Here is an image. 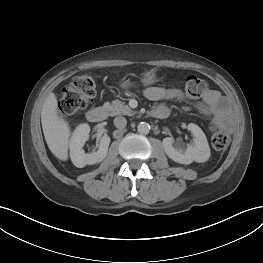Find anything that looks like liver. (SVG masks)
<instances>
[{
	"label": "liver",
	"instance_id": "obj_1",
	"mask_svg": "<svg viewBox=\"0 0 263 263\" xmlns=\"http://www.w3.org/2000/svg\"><path fill=\"white\" fill-rule=\"evenodd\" d=\"M41 123L45 141L50 151L60 160L68 159L70 127L59 117L57 99L53 93L46 98L41 111Z\"/></svg>",
	"mask_w": 263,
	"mask_h": 263
}]
</instances>
